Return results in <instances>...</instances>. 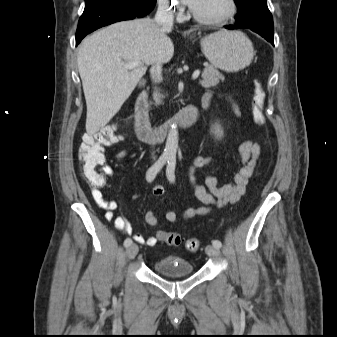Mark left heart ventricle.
<instances>
[{
    "mask_svg": "<svg viewBox=\"0 0 337 337\" xmlns=\"http://www.w3.org/2000/svg\"><path fill=\"white\" fill-rule=\"evenodd\" d=\"M193 10L202 16L219 17L227 10V0H200Z\"/></svg>",
    "mask_w": 337,
    "mask_h": 337,
    "instance_id": "left-heart-ventricle-1",
    "label": "left heart ventricle"
}]
</instances>
